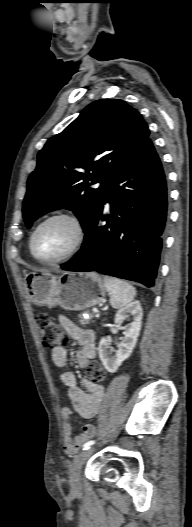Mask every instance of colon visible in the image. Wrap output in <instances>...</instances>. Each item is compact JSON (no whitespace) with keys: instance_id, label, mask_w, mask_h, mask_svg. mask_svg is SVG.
I'll list each match as a JSON object with an SVG mask.
<instances>
[{"instance_id":"obj_1","label":"colon","mask_w":192,"mask_h":527,"mask_svg":"<svg viewBox=\"0 0 192 527\" xmlns=\"http://www.w3.org/2000/svg\"><path fill=\"white\" fill-rule=\"evenodd\" d=\"M36 323L42 343L46 348L54 349L68 344V335L62 326L48 314H38ZM87 378L90 382L101 385L106 378L105 371L99 363L91 362L87 367Z\"/></svg>"}]
</instances>
